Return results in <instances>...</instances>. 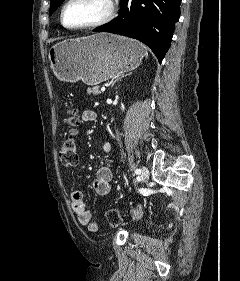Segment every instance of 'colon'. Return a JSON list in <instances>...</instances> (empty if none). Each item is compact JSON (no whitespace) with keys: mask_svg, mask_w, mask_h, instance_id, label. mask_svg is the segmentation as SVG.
<instances>
[{"mask_svg":"<svg viewBox=\"0 0 240 281\" xmlns=\"http://www.w3.org/2000/svg\"><path fill=\"white\" fill-rule=\"evenodd\" d=\"M65 123L69 127V136L64 139L60 151L59 159L62 165L66 167H74L78 163V152L74 140L75 128L78 125V117L75 109L68 110V116ZM105 220L109 226L115 227L122 223V215L116 209H110L105 215Z\"/></svg>","mask_w":240,"mask_h":281,"instance_id":"1","label":"colon"}]
</instances>
